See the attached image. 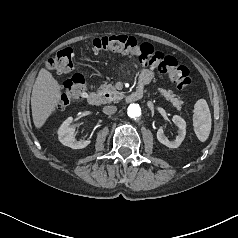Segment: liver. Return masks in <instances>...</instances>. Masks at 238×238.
I'll list each match as a JSON object with an SVG mask.
<instances>
[{
  "label": "liver",
  "mask_w": 238,
  "mask_h": 238,
  "mask_svg": "<svg viewBox=\"0 0 238 238\" xmlns=\"http://www.w3.org/2000/svg\"><path fill=\"white\" fill-rule=\"evenodd\" d=\"M61 86L45 68H42L33 85L31 110L34 125L41 128L61 101Z\"/></svg>",
  "instance_id": "liver-1"
}]
</instances>
